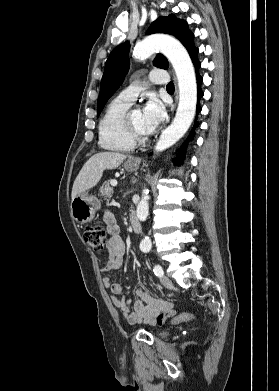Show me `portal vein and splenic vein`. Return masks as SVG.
Wrapping results in <instances>:
<instances>
[{
    "instance_id": "1",
    "label": "portal vein and splenic vein",
    "mask_w": 279,
    "mask_h": 391,
    "mask_svg": "<svg viewBox=\"0 0 279 391\" xmlns=\"http://www.w3.org/2000/svg\"><path fill=\"white\" fill-rule=\"evenodd\" d=\"M111 183L113 186L117 185V181H112Z\"/></svg>"
}]
</instances>
